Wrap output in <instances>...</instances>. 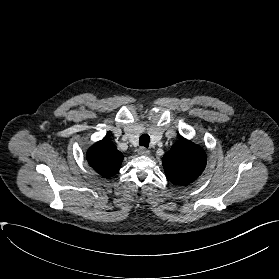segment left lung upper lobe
Here are the masks:
<instances>
[{"mask_svg":"<svg viewBox=\"0 0 279 279\" xmlns=\"http://www.w3.org/2000/svg\"><path fill=\"white\" fill-rule=\"evenodd\" d=\"M162 163L167 178L173 184H189L204 170L206 154L201 147L182 138L163 156Z\"/></svg>","mask_w":279,"mask_h":279,"instance_id":"left-lung-upper-lobe-1","label":"left lung upper lobe"}]
</instances>
